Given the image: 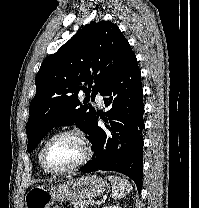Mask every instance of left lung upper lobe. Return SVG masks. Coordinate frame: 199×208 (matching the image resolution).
Here are the masks:
<instances>
[{
    "label": "left lung upper lobe",
    "mask_w": 199,
    "mask_h": 208,
    "mask_svg": "<svg viewBox=\"0 0 199 208\" xmlns=\"http://www.w3.org/2000/svg\"><path fill=\"white\" fill-rule=\"evenodd\" d=\"M133 55L116 24L94 21L48 56L35 79L36 95L26 125L28 152L54 127L75 123L89 134L96 113L86 99L81 104L79 91L83 90L87 97L92 91L93 101Z\"/></svg>",
    "instance_id": "obj_1"
}]
</instances>
